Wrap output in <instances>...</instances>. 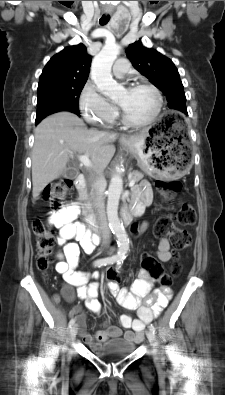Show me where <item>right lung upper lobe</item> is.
Wrapping results in <instances>:
<instances>
[{"label":"right lung upper lobe","instance_id":"1","mask_svg":"<svg viewBox=\"0 0 225 395\" xmlns=\"http://www.w3.org/2000/svg\"><path fill=\"white\" fill-rule=\"evenodd\" d=\"M91 57L84 44L70 46L53 56L46 64L39 85L54 82L87 81Z\"/></svg>","mask_w":225,"mask_h":395}]
</instances>
